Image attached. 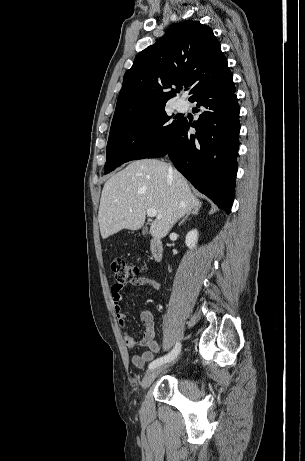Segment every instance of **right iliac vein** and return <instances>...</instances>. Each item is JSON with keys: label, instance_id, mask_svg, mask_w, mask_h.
<instances>
[{"label": "right iliac vein", "instance_id": "obj_1", "mask_svg": "<svg viewBox=\"0 0 305 461\" xmlns=\"http://www.w3.org/2000/svg\"><path fill=\"white\" fill-rule=\"evenodd\" d=\"M162 370V367H157V368H153L151 370H149L143 380H142V388L145 389L147 387H149L153 381L155 380L156 376L160 373V371Z\"/></svg>", "mask_w": 305, "mask_h": 461}]
</instances>
